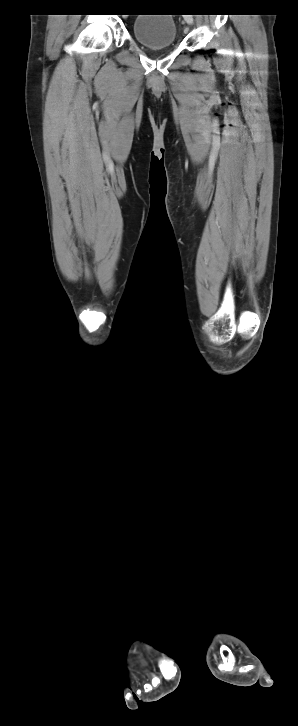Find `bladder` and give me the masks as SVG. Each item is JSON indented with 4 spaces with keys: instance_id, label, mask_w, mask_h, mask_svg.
<instances>
[{
    "instance_id": "31cf9c89",
    "label": "bladder",
    "mask_w": 298,
    "mask_h": 726,
    "mask_svg": "<svg viewBox=\"0 0 298 726\" xmlns=\"http://www.w3.org/2000/svg\"><path fill=\"white\" fill-rule=\"evenodd\" d=\"M151 15H157L151 18ZM134 38L149 49L172 47L177 41V26L169 14H138L132 23Z\"/></svg>"
}]
</instances>
